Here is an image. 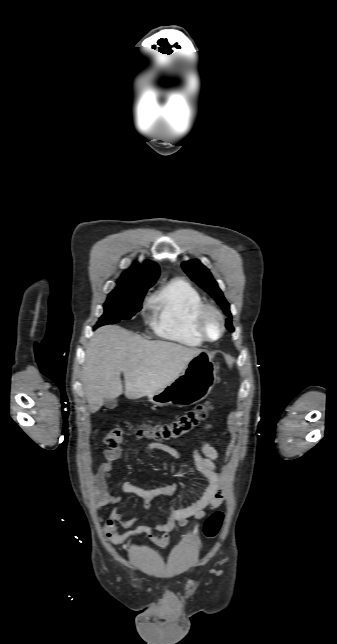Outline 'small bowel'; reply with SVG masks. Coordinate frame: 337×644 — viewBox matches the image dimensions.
<instances>
[{
	"label": "small bowel",
	"mask_w": 337,
	"mask_h": 644,
	"mask_svg": "<svg viewBox=\"0 0 337 644\" xmlns=\"http://www.w3.org/2000/svg\"><path fill=\"white\" fill-rule=\"evenodd\" d=\"M211 428L210 424L205 429ZM163 451L170 455L177 462H180L178 452L165 444L158 442H148L145 445V451L151 456L155 451ZM123 448L116 447L104 451L105 461L100 465L95 479L101 487L99 502L102 505H113L119 502L120 498L112 496L107 492V485L111 478L113 462L123 455ZM193 459L196 469L203 474L209 481L202 496L192 505L185 508L166 507L167 520L151 526L134 525L142 518L136 516L132 518L123 517L116 509L112 510L109 518L105 521L103 531L105 536L114 544H121L128 540L145 536L161 548H166L170 541L169 532L177 526H185L190 518L202 519L205 517L208 509L217 508L223 501L222 491V474L217 469L218 453L206 441H203L198 448L193 450ZM178 489L177 483L164 484L151 489H145L136 486L130 481L122 484V490L125 493L133 494L142 499L145 511H149L151 502L159 497L172 496ZM119 527L128 530L125 533L119 532Z\"/></svg>",
	"instance_id": "c3829d8e"
}]
</instances>
